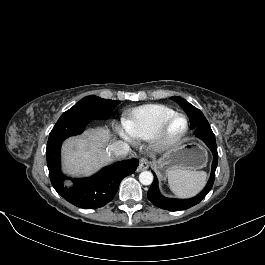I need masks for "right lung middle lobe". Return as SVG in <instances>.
Instances as JSON below:
<instances>
[{
  "label": "right lung middle lobe",
  "mask_w": 265,
  "mask_h": 265,
  "mask_svg": "<svg viewBox=\"0 0 265 265\" xmlns=\"http://www.w3.org/2000/svg\"><path fill=\"white\" fill-rule=\"evenodd\" d=\"M119 103L120 101L102 99L97 96H87L64 112L57 122L74 118L106 120L110 117L114 107Z\"/></svg>",
  "instance_id": "dd1d6c3e"
}]
</instances>
